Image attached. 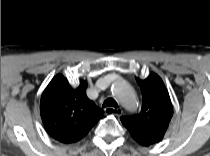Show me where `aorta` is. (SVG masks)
<instances>
[{"label":"aorta","instance_id":"aorta-1","mask_svg":"<svg viewBox=\"0 0 210 156\" xmlns=\"http://www.w3.org/2000/svg\"><path fill=\"white\" fill-rule=\"evenodd\" d=\"M115 98L127 109L138 106L137 96L132 86L124 80H118L112 85Z\"/></svg>","mask_w":210,"mask_h":156}]
</instances>
